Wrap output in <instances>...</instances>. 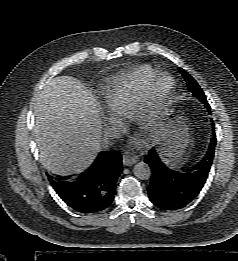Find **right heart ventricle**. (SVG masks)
Listing matches in <instances>:
<instances>
[{
    "instance_id": "e07e8e85",
    "label": "right heart ventricle",
    "mask_w": 238,
    "mask_h": 261,
    "mask_svg": "<svg viewBox=\"0 0 238 261\" xmlns=\"http://www.w3.org/2000/svg\"><path fill=\"white\" fill-rule=\"evenodd\" d=\"M156 73L149 65H140L113 81L103 92V100L111 113L128 115L136 109L144 87Z\"/></svg>"
}]
</instances>
